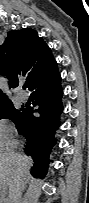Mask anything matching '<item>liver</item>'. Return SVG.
Listing matches in <instances>:
<instances>
[{"label": "liver", "mask_w": 89, "mask_h": 203, "mask_svg": "<svg viewBox=\"0 0 89 203\" xmlns=\"http://www.w3.org/2000/svg\"><path fill=\"white\" fill-rule=\"evenodd\" d=\"M17 144V142H7V150H3L0 153V192L2 196L7 194L8 188V200L4 203H15L16 192L19 187V183L23 181V178H27L29 170L33 164L30 157L16 153L9 147Z\"/></svg>", "instance_id": "6515ba94"}]
</instances>
